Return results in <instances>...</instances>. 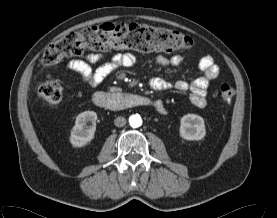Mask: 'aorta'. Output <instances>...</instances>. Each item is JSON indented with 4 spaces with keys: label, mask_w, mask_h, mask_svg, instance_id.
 <instances>
[{
    "label": "aorta",
    "mask_w": 277,
    "mask_h": 218,
    "mask_svg": "<svg viewBox=\"0 0 277 218\" xmlns=\"http://www.w3.org/2000/svg\"><path fill=\"white\" fill-rule=\"evenodd\" d=\"M129 124L132 128H138L142 125V119L141 116L138 114L131 115L129 117Z\"/></svg>",
    "instance_id": "aorta-1"
}]
</instances>
